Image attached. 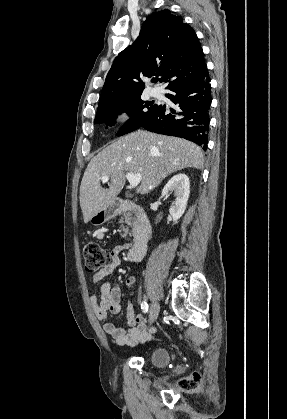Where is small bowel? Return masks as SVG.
Instances as JSON below:
<instances>
[{
  "mask_svg": "<svg viewBox=\"0 0 287 419\" xmlns=\"http://www.w3.org/2000/svg\"><path fill=\"white\" fill-rule=\"evenodd\" d=\"M129 248L128 244L116 246L111 252V261L108 265L96 272L92 277V283L99 285L100 298L95 294L90 297L95 315L103 324L104 331L118 345L134 346L138 342L149 338L148 327L145 317L142 314H136L132 300L128 301L126 307V317L129 328L124 329L117 327L114 323L108 321V313L119 314L121 311V290L118 284L102 282L109 275H112L120 264V254ZM126 286L130 289L131 294L135 285V278L130 276L125 281ZM152 328L150 331L153 332Z\"/></svg>",
  "mask_w": 287,
  "mask_h": 419,
  "instance_id": "small-bowel-1",
  "label": "small bowel"
}]
</instances>
